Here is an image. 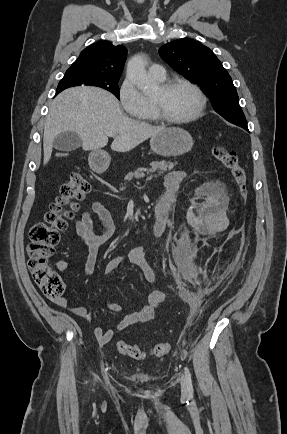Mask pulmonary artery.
<instances>
[{"label": "pulmonary artery", "mask_w": 287, "mask_h": 434, "mask_svg": "<svg viewBox=\"0 0 287 434\" xmlns=\"http://www.w3.org/2000/svg\"><path fill=\"white\" fill-rule=\"evenodd\" d=\"M148 74L155 80L162 81L166 78V71L160 64H152L148 69Z\"/></svg>", "instance_id": "e3ab8cb5"}]
</instances>
